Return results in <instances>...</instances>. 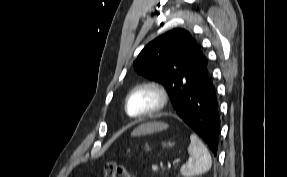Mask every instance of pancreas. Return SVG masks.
<instances>
[{
  "label": "pancreas",
  "instance_id": "obj_1",
  "mask_svg": "<svg viewBox=\"0 0 287 177\" xmlns=\"http://www.w3.org/2000/svg\"><path fill=\"white\" fill-rule=\"evenodd\" d=\"M152 169H153L154 171H156V170H157V167H156V166H153Z\"/></svg>",
  "mask_w": 287,
  "mask_h": 177
}]
</instances>
